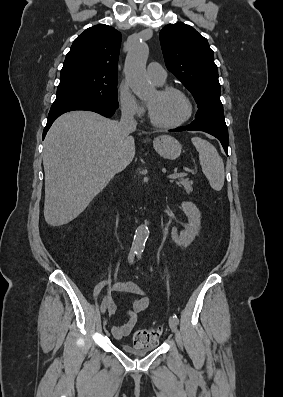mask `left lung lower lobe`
<instances>
[{"label": "left lung lower lobe", "mask_w": 283, "mask_h": 397, "mask_svg": "<svg viewBox=\"0 0 283 397\" xmlns=\"http://www.w3.org/2000/svg\"><path fill=\"white\" fill-rule=\"evenodd\" d=\"M204 131L215 136L222 144L228 155V128L225 121L212 118H198L185 127L176 128L173 131Z\"/></svg>", "instance_id": "0a47b994"}]
</instances>
